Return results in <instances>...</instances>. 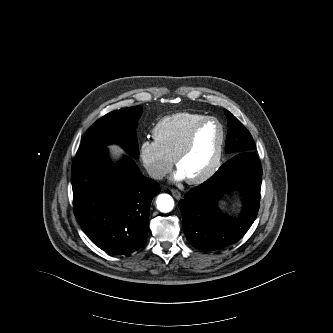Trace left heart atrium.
I'll return each mask as SVG.
<instances>
[{"label":"left heart atrium","mask_w":333,"mask_h":333,"mask_svg":"<svg viewBox=\"0 0 333 333\" xmlns=\"http://www.w3.org/2000/svg\"><path fill=\"white\" fill-rule=\"evenodd\" d=\"M174 179L177 181H182V180H185L186 178H185L184 174L178 169L174 174Z\"/></svg>","instance_id":"obj_1"}]
</instances>
